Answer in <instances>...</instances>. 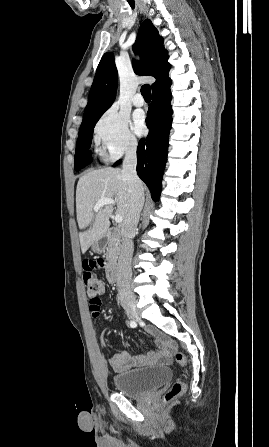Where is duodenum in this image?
<instances>
[{
    "instance_id": "obj_1",
    "label": "duodenum",
    "mask_w": 269,
    "mask_h": 447,
    "mask_svg": "<svg viewBox=\"0 0 269 447\" xmlns=\"http://www.w3.org/2000/svg\"><path fill=\"white\" fill-rule=\"evenodd\" d=\"M106 237L118 238L120 236V230L118 228H110L107 230ZM107 279L110 283H115L117 280V267L114 263H111L106 268Z\"/></svg>"
}]
</instances>
